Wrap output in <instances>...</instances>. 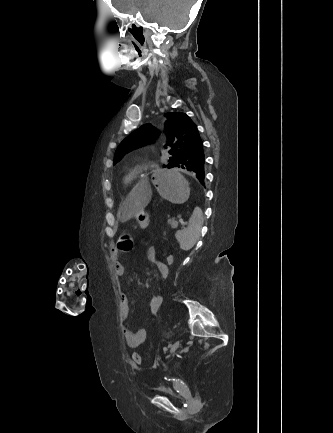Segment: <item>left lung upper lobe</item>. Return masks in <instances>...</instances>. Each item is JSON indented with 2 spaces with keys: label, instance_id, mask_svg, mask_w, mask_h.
<instances>
[{
  "label": "left lung upper lobe",
  "instance_id": "5c2ea615",
  "mask_svg": "<svg viewBox=\"0 0 333 433\" xmlns=\"http://www.w3.org/2000/svg\"><path fill=\"white\" fill-rule=\"evenodd\" d=\"M165 116L167 118L165 129L168 137L166 146H170L172 149L169 151L171 154L169 163L164 167L174 168L181 156L201 138L195 123L187 114L171 112L166 113ZM157 136L158 130L150 124L141 126L118 146L114 156V164L126 153L154 141Z\"/></svg>",
  "mask_w": 333,
  "mask_h": 433
}]
</instances>
